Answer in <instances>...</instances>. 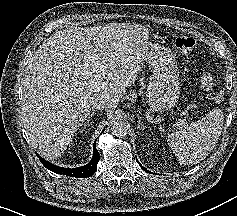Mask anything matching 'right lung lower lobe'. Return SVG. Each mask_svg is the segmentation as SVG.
I'll use <instances>...</instances> for the list:
<instances>
[{
	"mask_svg": "<svg viewBox=\"0 0 237 216\" xmlns=\"http://www.w3.org/2000/svg\"><path fill=\"white\" fill-rule=\"evenodd\" d=\"M95 143H96V140L94 141V144H93V158L91 159V161L87 165H84V166L78 167V168H72L71 169V168L59 167V166L53 165L50 162L45 161L38 154H37V157L39 158L41 163L47 169H49L50 171H52L56 174H64V175H67V176H73V177H78V178L90 177L91 175H93L96 172L97 164H98L99 159H100V156H99V153L96 149Z\"/></svg>",
	"mask_w": 237,
	"mask_h": 216,
	"instance_id": "right-lung-lower-lobe-1",
	"label": "right lung lower lobe"
}]
</instances>
